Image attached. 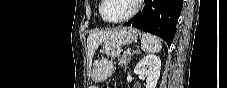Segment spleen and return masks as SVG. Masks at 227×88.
<instances>
[{
	"instance_id": "spleen-1",
	"label": "spleen",
	"mask_w": 227,
	"mask_h": 88,
	"mask_svg": "<svg viewBox=\"0 0 227 88\" xmlns=\"http://www.w3.org/2000/svg\"><path fill=\"white\" fill-rule=\"evenodd\" d=\"M141 47L145 52L155 53L162 49V43L155 35L143 33L141 37Z\"/></svg>"
}]
</instances>
